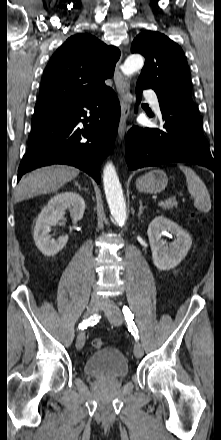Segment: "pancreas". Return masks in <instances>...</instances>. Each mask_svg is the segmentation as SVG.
<instances>
[{"mask_svg":"<svg viewBox=\"0 0 221 440\" xmlns=\"http://www.w3.org/2000/svg\"><path fill=\"white\" fill-rule=\"evenodd\" d=\"M164 210H171L177 208V201L175 199L168 200L160 205Z\"/></svg>","mask_w":221,"mask_h":440,"instance_id":"pancreas-1","label":"pancreas"}]
</instances>
